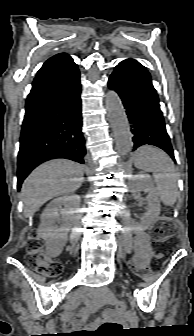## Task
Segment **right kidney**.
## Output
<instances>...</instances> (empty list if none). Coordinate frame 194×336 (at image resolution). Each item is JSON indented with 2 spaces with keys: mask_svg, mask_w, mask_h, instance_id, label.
<instances>
[{
  "mask_svg": "<svg viewBox=\"0 0 194 336\" xmlns=\"http://www.w3.org/2000/svg\"><path fill=\"white\" fill-rule=\"evenodd\" d=\"M80 202L79 195H65L52 200L42 212L38 234L45 240L46 249L50 255L61 254L68 238L73 216Z\"/></svg>",
  "mask_w": 194,
  "mask_h": 336,
  "instance_id": "obj_1",
  "label": "right kidney"
}]
</instances>
